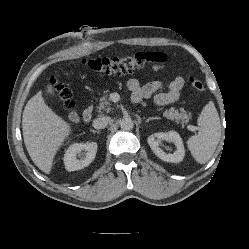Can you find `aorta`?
<instances>
[{"instance_id": "1", "label": "aorta", "mask_w": 249, "mask_h": 249, "mask_svg": "<svg viewBox=\"0 0 249 249\" xmlns=\"http://www.w3.org/2000/svg\"><path fill=\"white\" fill-rule=\"evenodd\" d=\"M120 127L122 130L130 131L134 127L133 120L131 118L122 119L120 122Z\"/></svg>"}]
</instances>
